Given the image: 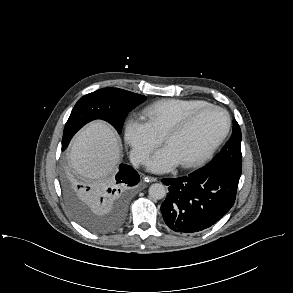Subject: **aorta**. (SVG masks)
I'll use <instances>...</instances> for the list:
<instances>
[{"label": "aorta", "mask_w": 293, "mask_h": 293, "mask_svg": "<svg viewBox=\"0 0 293 293\" xmlns=\"http://www.w3.org/2000/svg\"><path fill=\"white\" fill-rule=\"evenodd\" d=\"M149 196L154 200L163 199L166 196L165 186L161 183H154L149 187Z\"/></svg>", "instance_id": "762f6f07"}]
</instances>
